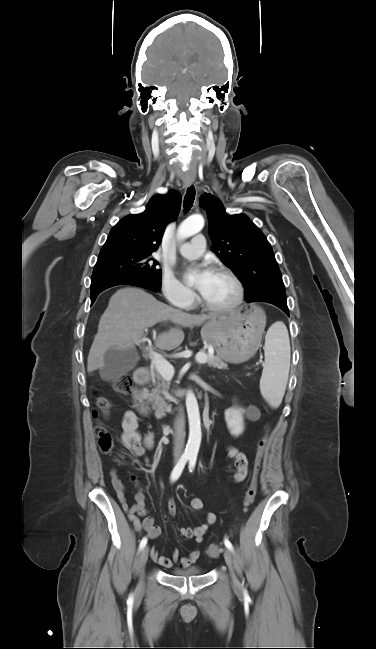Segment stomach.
<instances>
[{
	"label": "stomach",
	"mask_w": 376,
	"mask_h": 649,
	"mask_svg": "<svg viewBox=\"0 0 376 649\" xmlns=\"http://www.w3.org/2000/svg\"><path fill=\"white\" fill-rule=\"evenodd\" d=\"M265 324L264 312L253 307L245 313L236 311L229 316L209 320L203 326L201 336L204 343L215 348L219 358L239 363L257 352Z\"/></svg>",
	"instance_id": "stomach-1"
}]
</instances>
